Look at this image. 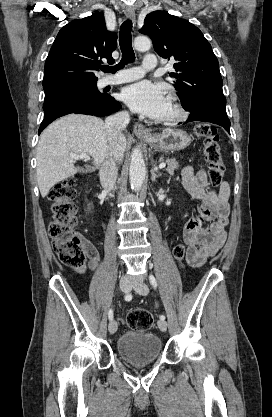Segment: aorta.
Instances as JSON below:
<instances>
[{"mask_svg":"<svg viewBox=\"0 0 272 417\" xmlns=\"http://www.w3.org/2000/svg\"><path fill=\"white\" fill-rule=\"evenodd\" d=\"M134 47L138 51H147L151 47V41L146 36H138L134 40ZM146 176V168L141 150L136 147L131 154L129 179L131 188L139 191L142 188Z\"/></svg>","mask_w":272,"mask_h":417,"instance_id":"obj_1","label":"aorta"}]
</instances>
